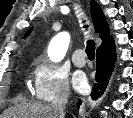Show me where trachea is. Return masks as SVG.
<instances>
[{"label":"trachea","mask_w":133,"mask_h":118,"mask_svg":"<svg viewBox=\"0 0 133 118\" xmlns=\"http://www.w3.org/2000/svg\"><path fill=\"white\" fill-rule=\"evenodd\" d=\"M84 27L87 28L88 25H85ZM86 54L89 59H94V57H95V42L93 40L87 41Z\"/></svg>","instance_id":"1"}]
</instances>
